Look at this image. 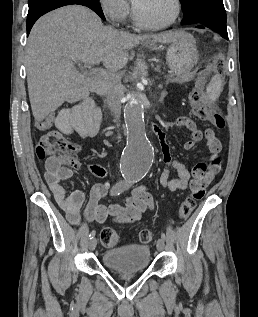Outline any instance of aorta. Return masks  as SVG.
Segmentation results:
<instances>
[{
    "instance_id": "aorta-1",
    "label": "aorta",
    "mask_w": 258,
    "mask_h": 317,
    "mask_svg": "<svg viewBox=\"0 0 258 317\" xmlns=\"http://www.w3.org/2000/svg\"><path fill=\"white\" fill-rule=\"evenodd\" d=\"M124 107L127 145L121 157V173L128 180H140L149 171L154 151L146 136L143 105L134 93Z\"/></svg>"
}]
</instances>
